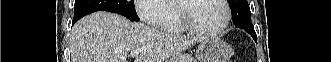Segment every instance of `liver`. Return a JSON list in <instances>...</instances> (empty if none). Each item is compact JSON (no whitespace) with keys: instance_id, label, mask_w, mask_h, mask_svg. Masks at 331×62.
<instances>
[{"instance_id":"liver-1","label":"liver","mask_w":331,"mask_h":62,"mask_svg":"<svg viewBox=\"0 0 331 62\" xmlns=\"http://www.w3.org/2000/svg\"><path fill=\"white\" fill-rule=\"evenodd\" d=\"M200 37L154 29L105 11L79 20L71 32V62H127L128 52L143 48L136 62H164Z\"/></svg>"}]
</instances>
